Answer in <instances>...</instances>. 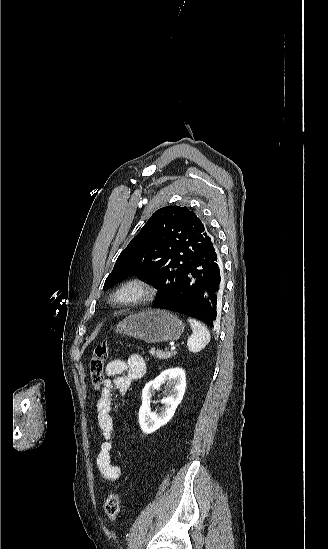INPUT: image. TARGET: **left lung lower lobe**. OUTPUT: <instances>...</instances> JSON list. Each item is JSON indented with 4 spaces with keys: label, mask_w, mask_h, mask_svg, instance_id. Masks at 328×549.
<instances>
[{
    "label": "left lung lower lobe",
    "mask_w": 328,
    "mask_h": 549,
    "mask_svg": "<svg viewBox=\"0 0 328 549\" xmlns=\"http://www.w3.org/2000/svg\"><path fill=\"white\" fill-rule=\"evenodd\" d=\"M218 250L211 244L188 265L172 292L156 300L153 308L175 311L214 327L222 290Z\"/></svg>",
    "instance_id": "left-lung-lower-lobe-1"
}]
</instances>
